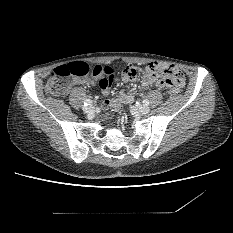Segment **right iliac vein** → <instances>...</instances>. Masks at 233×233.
<instances>
[{"label": "right iliac vein", "mask_w": 233, "mask_h": 233, "mask_svg": "<svg viewBox=\"0 0 233 233\" xmlns=\"http://www.w3.org/2000/svg\"><path fill=\"white\" fill-rule=\"evenodd\" d=\"M95 108L93 106H86L83 108V111L87 114H92L94 112Z\"/></svg>", "instance_id": "obj_1"}]
</instances>
